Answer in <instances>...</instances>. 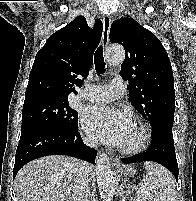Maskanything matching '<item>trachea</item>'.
I'll return each mask as SVG.
<instances>
[{
    "label": "trachea",
    "instance_id": "obj_1",
    "mask_svg": "<svg viewBox=\"0 0 196 201\" xmlns=\"http://www.w3.org/2000/svg\"><path fill=\"white\" fill-rule=\"evenodd\" d=\"M95 69L98 75L105 72V62L103 56V48L100 46L97 48L94 55Z\"/></svg>",
    "mask_w": 196,
    "mask_h": 201
}]
</instances>
